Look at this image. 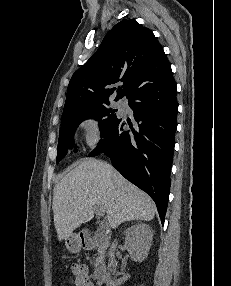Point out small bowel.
Here are the masks:
<instances>
[{
    "mask_svg": "<svg viewBox=\"0 0 231 286\" xmlns=\"http://www.w3.org/2000/svg\"><path fill=\"white\" fill-rule=\"evenodd\" d=\"M72 272L74 275L75 286H94V282L85 264L73 263Z\"/></svg>",
    "mask_w": 231,
    "mask_h": 286,
    "instance_id": "obj_1",
    "label": "small bowel"
}]
</instances>
